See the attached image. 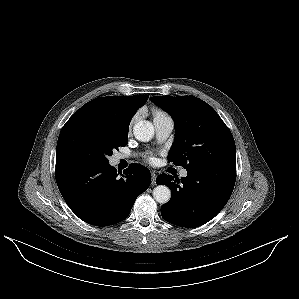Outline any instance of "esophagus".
<instances>
[{"label": "esophagus", "mask_w": 299, "mask_h": 299, "mask_svg": "<svg viewBox=\"0 0 299 299\" xmlns=\"http://www.w3.org/2000/svg\"><path fill=\"white\" fill-rule=\"evenodd\" d=\"M151 176H152V181H151V183H152V185H155V184H156V177H157V175H156L155 172H152Z\"/></svg>", "instance_id": "34e87169"}]
</instances>
